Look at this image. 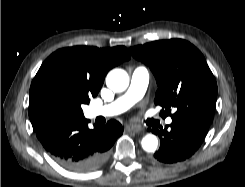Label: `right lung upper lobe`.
I'll return each instance as SVG.
<instances>
[{
    "label": "right lung upper lobe",
    "mask_w": 245,
    "mask_h": 187,
    "mask_svg": "<svg viewBox=\"0 0 245 187\" xmlns=\"http://www.w3.org/2000/svg\"><path fill=\"white\" fill-rule=\"evenodd\" d=\"M128 59H130V55L124 46L102 49L75 46L57 50L44 63L64 66L97 94L103 85L107 72ZM42 126L34 125L33 129L38 130Z\"/></svg>",
    "instance_id": "cb5924a9"
}]
</instances>
